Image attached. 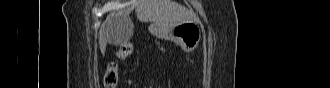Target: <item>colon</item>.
<instances>
[{
	"instance_id": "obj_1",
	"label": "colon",
	"mask_w": 330,
	"mask_h": 88,
	"mask_svg": "<svg viewBox=\"0 0 330 88\" xmlns=\"http://www.w3.org/2000/svg\"><path fill=\"white\" fill-rule=\"evenodd\" d=\"M126 48L131 51L133 46L132 43L127 42L124 43ZM126 56H120L117 52V58L118 59H124ZM118 77H119V69L117 64L115 63H111L108 68L107 71L104 75V79H103V84L106 88H113L116 86L117 81H118Z\"/></svg>"
}]
</instances>
